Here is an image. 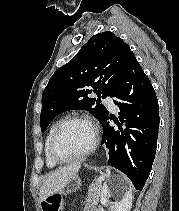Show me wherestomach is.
I'll use <instances>...</instances> for the list:
<instances>
[{"label":"stomach","mask_w":179,"mask_h":211,"mask_svg":"<svg viewBox=\"0 0 179 211\" xmlns=\"http://www.w3.org/2000/svg\"><path fill=\"white\" fill-rule=\"evenodd\" d=\"M81 186V180L77 175L72 176L64 185V187L59 190L57 193L54 195H68L76 192Z\"/></svg>","instance_id":"0dacf381"}]
</instances>
